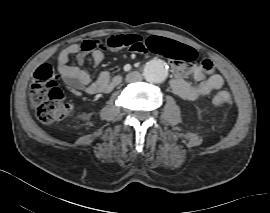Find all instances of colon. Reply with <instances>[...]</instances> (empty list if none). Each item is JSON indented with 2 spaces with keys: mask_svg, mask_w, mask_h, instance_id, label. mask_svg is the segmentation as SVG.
Wrapping results in <instances>:
<instances>
[{
  "mask_svg": "<svg viewBox=\"0 0 270 213\" xmlns=\"http://www.w3.org/2000/svg\"><path fill=\"white\" fill-rule=\"evenodd\" d=\"M127 40L131 43L133 50L136 42L143 46L141 39L135 35L127 36ZM147 43L156 47L161 54L175 49L174 46L165 44L156 38L149 39ZM201 65L206 72H210L212 69L208 59L202 60ZM31 96L36 106L37 116L44 123L59 122L72 111V104L65 100L63 91L59 87L58 76L47 63L41 64L35 71ZM231 98L230 89L223 87L213 95L212 103L215 107H224L231 103Z\"/></svg>",
  "mask_w": 270,
  "mask_h": 213,
  "instance_id": "colon-1",
  "label": "colon"
}]
</instances>
